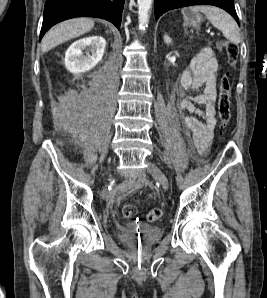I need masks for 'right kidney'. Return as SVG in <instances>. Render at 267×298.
I'll return each instance as SVG.
<instances>
[{
	"label": "right kidney",
	"mask_w": 267,
	"mask_h": 298,
	"mask_svg": "<svg viewBox=\"0 0 267 298\" xmlns=\"http://www.w3.org/2000/svg\"><path fill=\"white\" fill-rule=\"evenodd\" d=\"M90 47L84 55L83 50ZM106 41L99 35L85 37L75 41L65 53V66L74 74L84 73L94 68L101 60L105 51Z\"/></svg>",
	"instance_id": "obj_1"
}]
</instances>
